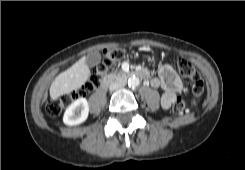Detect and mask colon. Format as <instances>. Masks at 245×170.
Here are the masks:
<instances>
[{"label":"colon","mask_w":245,"mask_h":170,"mask_svg":"<svg viewBox=\"0 0 245 170\" xmlns=\"http://www.w3.org/2000/svg\"><path fill=\"white\" fill-rule=\"evenodd\" d=\"M103 59L99 64L97 71H95L89 82H87L83 87L68 92L57 99L51 100L47 106L46 111L50 116H58L64 108L70 105L75 100L83 97L86 92L92 90L101 83L102 75L109 73L113 66L122 58L123 52L120 49H111L103 52ZM178 69L180 73L189 78L191 81V91L195 101L204 92V82L200 73L196 70L194 65L186 58H179L177 61ZM174 111L180 113L185 109V102L181 97L176 98L174 102Z\"/></svg>","instance_id":"obj_1"}]
</instances>
